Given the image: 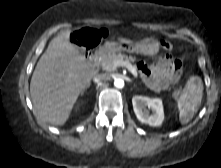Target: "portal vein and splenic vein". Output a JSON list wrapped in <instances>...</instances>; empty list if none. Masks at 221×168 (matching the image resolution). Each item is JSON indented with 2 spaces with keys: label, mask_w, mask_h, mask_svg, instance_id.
<instances>
[{
  "label": "portal vein and splenic vein",
  "mask_w": 221,
  "mask_h": 168,
  "mask_svg": "<svg viewBox=\"0 0 221 168\" xmlns=\"http://www.w3.org/2000/svg\"><path fill=\"white\" fill-rule=\"evenodd\" d=\"M113 66L114 67H119V66L126 67L133 74L134 77L138 76L137 71L135 70V68L132 66L131 63H129L127 61L117 60V61L114 62Z\"/></svg>",
  "instance_id": "portal-vein-and-splenic-vein-1"
}]
</instances>
